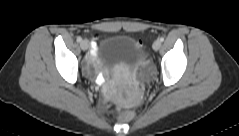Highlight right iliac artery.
Wrapping results in <instances>:
<instances>
[{"label":"right iliac artery","instance_id":"82829eb1","mask_svg":"<svg viewBox=\"0 0 239 136\" xmlns=\"http://www.w3.org/2000/svg\"><path fill=\"white\" fill-rule=\"evenodd\" d=\"M82 39L80 37H77V42H81Z\"/></svg>","mask_w":239,"mask_h":136}]
</instances>
